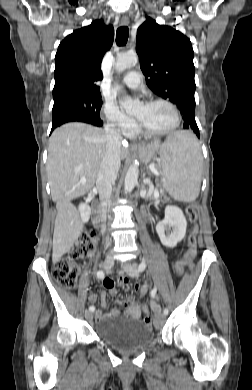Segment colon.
<instances>
[{
    "instance_id": "1",
    "label": "colon",
    "mask_w": 252,
    "mask_h": 390,
    "mask_svg": "<svg viewBox=\"0 0 252 390\" xmlns=\"http://www.w3.org/2000/svg\"><path fill=\"white\" fill-rule=\"evenodd\" d=\"M187 215L193 227L188 235V248L184 255L183 263L192 265V260L196 255V236L198 233L197 211L194 205L187 207ZM95 236L85 234L82 235L71 248L68 255L61 257L54 262L53 276L56 281L63 287L71 289L77 285L79 277V266L77 260L81 259L94 252ZM181 264L177 266V270H180ZM124 282L122 286H126ZM152 316L148 310L145 312L144 321L147 325L151 323Z\"/></svg>"
}]
</instances>
